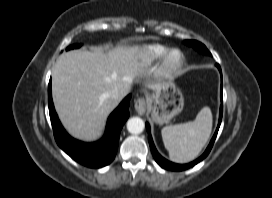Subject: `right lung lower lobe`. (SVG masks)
Here are the masks:
<instances>
[{"instance_id": "right-lung-lower-lobe-1", "label": "right lung lower lobe", "mask_w": 272, "mask_h": 198, "mask_svg": "<svg viewBox=\"0 0 272 198\" xmlns=\"http://www.w3.org/2000/svg\"><path fill=\"white\" fill-rule=\"evenodd\" d=\"M130 98L131 95H128L111 113L107 121L105 135L101 140L94 143H84L70 137L62 127L54 109L50 80L48 86L49 114L58 146L75 161L87 167L100 168L110 164L117 152L120 131L129 117Z\"/></svg>"}]
</instances>
